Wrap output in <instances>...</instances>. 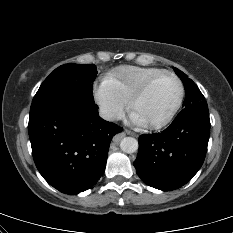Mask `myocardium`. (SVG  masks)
<instances>
[{
	"mask_svg": "<svg viewBox=\"0 0 233 233\" xmlns=\"http://www.w3.org/2000/svg\"><path fill=\"white\" fill-rule=\"evenodd\" d=\"M164 76H170V77L174 78L176 80V82L178 83L179 95H178L177 101H176L175 105L173 106V108L170 110V112L167 114V116L165 118H163L162 120L157 121V122L145 123L144 124L145 127L152 128V129H159V128H162V127L168 125L174 119V117L176 116V114L178 113L179 109L182 106V103H183V100H184V95H185L184 84H183L182 80L180 79V77L178 75H176L174 72L164 70V71L158 73L157 75L151 77L149 80H147L133 94V96L130 98V100L128 102L129 111L132 112L135 104L140 99H142L144 97V95L149 91L151 86L158 79H160V78H162Z\"/></svg>",
	"mask_w": 233,
	"mask_h": 233,
	"instance_id": "1",
	"label": "myocardium"
}]
</instances>
